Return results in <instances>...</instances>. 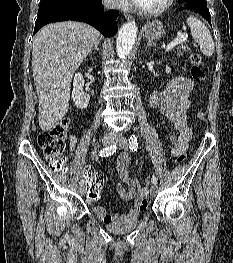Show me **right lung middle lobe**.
Listing matches in <instances>:
<instances>
[{
  "mask_svg": "<svg viewBox=\"0 0 233 263\" xmlns=\"http://www.w3.org/2000/svg\"><path fill=\"white\" fill-rule=\"evenodd\" d=\"M79 0H41L37 19L56 12H70L75 9Z\"/></svg>",
  "mask_w": 233,
  "mask_h": 263,
  "instance_id": "right-lung-middle-lobe-1",
  "label": "right lung middle lobe"
}]
</instances>
